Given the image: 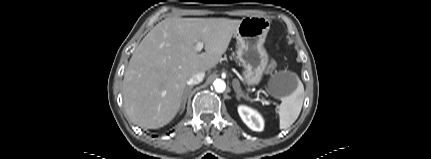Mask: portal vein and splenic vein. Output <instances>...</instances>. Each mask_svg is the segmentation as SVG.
<instances>
[{
    "instance_id": "portal-vein-and-splenic-vein-1",
    "label": "portal vein and splenic vein",
    "mask_w": 431,
    "mask_h": 159,
    "mask_svg": "<svg viewBox=\"0 0 431 159\" xmlns=\"http://www.w3.org/2000/svg\"><path fill=\"white\" fill-rule=\"evenodd\" d=\"M204 47V44L202 42H197L196 44V51L200 52Z\"/></svg>"
}]
</instances>
